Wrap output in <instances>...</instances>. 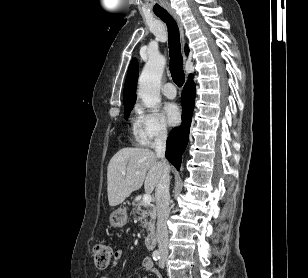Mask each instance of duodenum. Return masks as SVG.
<instances>
[{"instance_id": "duodenum-1", "label": "duodenum", "mask_w": 308, "mask_h": 278, "mask_svg": "<svg viewBox=\"0 0 308 278\" xmlns=\"http://www.w3.org/2000/svg\"><path fill=\"white\" fill-rule=\"evenodd\" d=\"M146 246L149 249H152L156 246L157 243V234L155 232H150L147 236H146Z\"/></svg>"}]
</instances>
